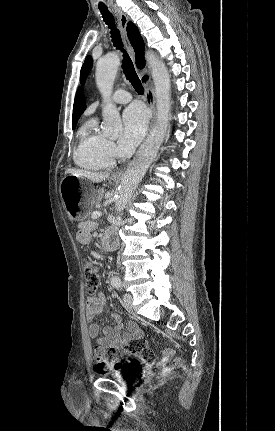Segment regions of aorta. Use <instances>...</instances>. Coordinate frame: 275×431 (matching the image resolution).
<instances>
[{
    "mask_svg": "<svg viewBox=\"0 0 275 431\" xmlns=\"http://www.w3.org/2000/svg\"><path fill=\"white\" fill-rule=\"evenodd\" d=\"M146 60L151 68L155 86L156 122L150 135L124 172L115 200L117 213L124 210L139 182L154 161L165 138L169 122L171 88L169 73L163 61L153 52L146 53ZM119 64V55L109 53L101 58L96 66V84L106 102L103 108V133L108 137L116 136L122 127L119 112L109 100Z\"/></svg>",
    "mask_w": 275,
    "mask_h": 431,
    "instance_id": "aorta-1",
    "label": "aorta"
}]
</instances>
